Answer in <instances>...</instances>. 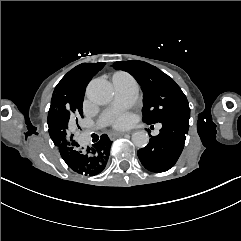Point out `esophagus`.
Listing matches in <instances>:
<instances>
[{"instance_id": "34e87169", "label": "esophagus", "mask_w": 241, "mask_h": 241, "mask_svg": "<svg viewBox=\"0 0 241 241\" xmlns=\"http://www.w3.org/2000/svg\"><path fill=\"white\" fill-rule=\"evenodd\" d=\"M125 134L126 133H124V132H113V133L109 134V137H110V139L114 140V139L124 136Z\"/></svg>"}]
</instances>
